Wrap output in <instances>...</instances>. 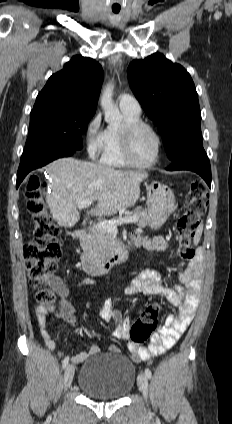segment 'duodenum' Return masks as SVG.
<instances>
[{
    "label": "duodenum",
    "mask_w": 232,
    "mask_h": 424,
    "mask_svg": "<svg viewBox=\"0 0 232 424\" xmlns=\"http://www.w3.org/2000/svg\"><path fill=\"white\" fill-rule=\"evenodd\" d=\"M74 236L79 244L81 267L87 274L94 276L102 275L115 264L124 261L126 251L132 246H138L137 242L131 235V238L128 241L124 244L118 243L115 245V247L106 256L94 258L90 255L85 244L87 237L86 231L78 229L75 231Z\"/></svg>",
    "instance_id": "duodenum-1"
}]
</instances>
